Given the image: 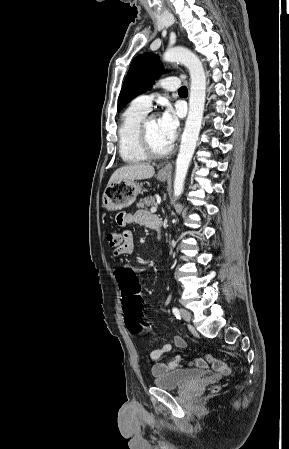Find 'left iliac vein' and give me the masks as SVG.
Instances as JSON below:
<instances>
[{
    "label": "left iliac vein",
    "instance_id": "obj_1",
    "mask_svg": "<svg viewBox=\"0 0 289 449\" xmlns=\"http://www.w3.org/2000/svg\"><path fill=\"white\" fill-rule=\"evenodd\" d=\"M180 313H181L182 318H183L185 321L189 322V321L191 320V314H190V312L187 311L186 309H181V310H180Z\"/></svg>",
    "mask_w": 289,
    "mask_h": 449
}]
</instances>
